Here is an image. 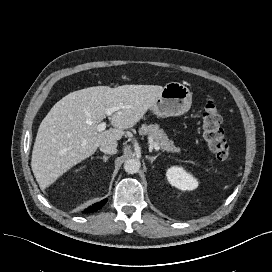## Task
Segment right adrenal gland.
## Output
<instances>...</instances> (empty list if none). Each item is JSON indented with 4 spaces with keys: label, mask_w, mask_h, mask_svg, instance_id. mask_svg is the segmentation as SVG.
Listing matches in <instances>:
<instances>
[{
    "label": "right adrenal gland",
    "mask_w": 272,
    "mask_h": 272,
    "mask_svg": "<svg viewBox=\"0 0 272 272\" xmlns=\"http://www.w3.org/2000/svg\"><path fill=\"white\" fill-rule=\"evenodd\" d=\"M97 158L103 159V162H106L110 158V156H103V157H97Z\"/></svg>",
    "instance_id": "right-adrenal-gland-1"
}]
</instances>
